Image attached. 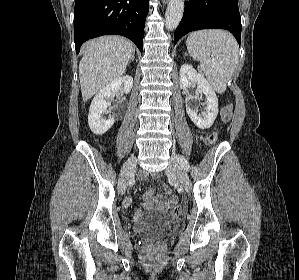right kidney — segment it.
Listing matches in <instances>:
<instances>
[{"mask_svg": "<svg viewBox=\"0 0 299 280\" xmlns=\"http://www.w3.org/2000/svg\"><path fill=\"white\" fill-rule=\"evenodd\" d=\"M133 86V78L129 75L115 79L106 87L99 90L89 109L88 123L91 131L96 135L106 133L114 124L115 119L109 117L107 120L102 115L107 113L110 108V100L115 97L117 92L122 90L129 93Z\"/></svg>", "mask_w": 299, "mask_h": 280, "instance_id": "right-kidney-1", "label": "right kidney"}]
</instances>
